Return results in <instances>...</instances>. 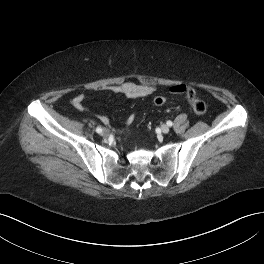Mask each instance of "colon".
I'll return each instance as SVG.
<instances>
[{"instance_id": "obj_1", "label": "colon", "mask_w": 264, "mask_h": 264, "mask_svg": "<svg viewBox=\"0 0 264 264\" xmlns=\"http://www.w3.org/2000/svg\"><path fill=\"white\" fill-rule=\"evenodd\" d=\"M185 92H186V98L188 104L190 105L192 110L198 115H204L207 111L206 105L202 100H200L196 96L195 90L191 87H188ZM165 103H166V97L162 95H158L154 98V104L157 106H162Z\"/></svg>"}]
</instances>
